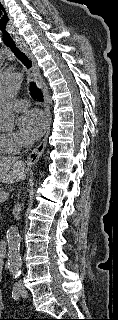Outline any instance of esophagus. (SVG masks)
Masks as SVG:
<instances>
[{"instance_id":"34e87169","label":"esophagus","mask_w":118,"mask_h":320,"mask_svg":"<svg viewBox=\"0 0 118 320\" xmlns=\"http://www.w3.org/2000/svg\"><path fill=\"white\" fill-rule=\"evenodd\" d=\"M21 49L25 52V54L29 57V59L32 62V77L35 81V83L37 84V86L43 91L44 94V101H45V106H46V118H47V131L46 134L43 138V140L41 141V143L36 146L28 155L27 157V163L29 166H32L34 164H36L40 157L42 156L46 145H47V139L48 136L50 134V126H51V112H50V108H49V101H48V89L46 84L44 83L41 75H40V70L39 67L37 65L35 56L33 55V53L31 52L30 48L27 45H20Z\"/></svg>"}]
</instances>
